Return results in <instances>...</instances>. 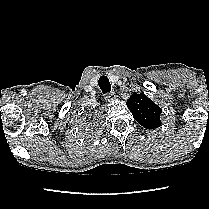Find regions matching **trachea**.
<instances>
[{
    "label": "trachea",
    "mask_w": 209,
    "mask_h": 209,
    "mask_svg": "<svg viewBox=\"0 0 209 209\" xmlns=\"http://www.w3.org/2000/svg\"><path fill=\"white\" fill-rule=\"evenodd\" d=\"M98 85L101 89V91L106 94V93H110L111 91V85L109 82V79L107 76H101L98 80Z\"/></svg>",
    "instance_id": "trachea-1"
}]
</instances>
